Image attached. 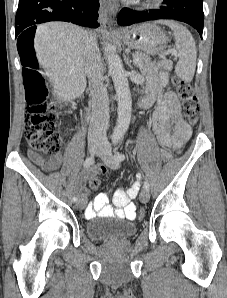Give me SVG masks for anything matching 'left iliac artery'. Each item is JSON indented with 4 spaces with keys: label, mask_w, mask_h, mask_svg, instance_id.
Returning a JSON list of instances; mask_svg holds the SVG:
<instances>
[{
    "label": "left iliac artery",
    "mask_w": 227,
    "mask_h": 298,
    "mask_svg": "<svg viewBox=\"0 0 227 298\" xmlns=\"http://www.w3.org/2000/svg\"><path fill=\"white\" fill-rule=\"evenodd\" d=\"M118 142H119V138H115V139H113V143H114V145H117ZM114 159H115L116 161H123V160L125 159V155L122 154V153L116 152V153H115V156H114ZM144 188H145L146 190H148V191H149V189H150V185H149V183H148L147 181H144Z\"/></svg>",
    "instance_id": "left-iliac-artery-1"
}]
</instances>
